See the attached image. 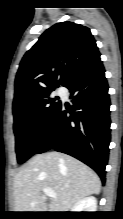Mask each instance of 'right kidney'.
<instances>
[{
    "mask_svg": "<svg viewBox=\"0 0 123 219\" xmlns=\"http://www.w3.org/2000/svg\"><path fill=\"white\" fill-rule=\"evenodd\" d=\"M97 200L93 196L85 197L79 200L73 207L71 212H96Z\"/></svg>",
    "mask_w": 123,
    "mask_h": 219,
    "instance_id": "1",
    "label": "right kidney"
}]
</instances>
